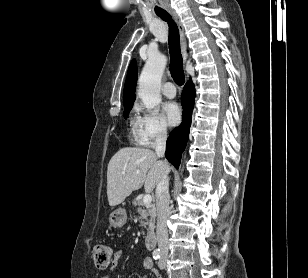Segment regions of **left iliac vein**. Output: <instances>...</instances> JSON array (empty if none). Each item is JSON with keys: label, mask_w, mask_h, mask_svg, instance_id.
I'll return each mask as SVG.
<instances>
[{"label": "left iliac vein", "mask_w": 308, "mask_h": 278, "mask_svg": "<svg viewBox=\"0 0 308 278\" xmlns=\"http://www.w3.org/2000/svg\"><path fill=\"white\" fill-rule=\"evenodd\" d=\"M166 258H167V254L166 253H162L161 257H160V259L158 261V267L160 269H164L165 268V266H166Z\"/></svg>", "instance_id": "1"}]
</instances>
